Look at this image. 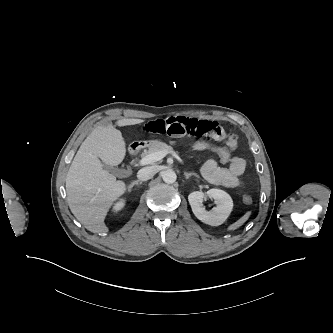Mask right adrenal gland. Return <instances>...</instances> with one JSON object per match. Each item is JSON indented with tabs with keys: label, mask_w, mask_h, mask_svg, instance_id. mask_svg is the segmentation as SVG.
<instances>
[{
	"label": "right adrenal gland",
	"mask_w": 333,
	"mask_h": 333,
	"mask_svg": "<svg viewBox=\"0 0 333 333\" xmlns=\"http://www.w3.org/2000/svg\"><path fill=\"white\" fill-rule=\"evenodd\" d=\"M134 185L141 186V185H142V182H139L138 180L132 182V183L129 185V187H128V188H129V191L132 190V188H133Z\"/></svg>",
	"instance_id": "2a0ac1e0"
}]
</instances>
